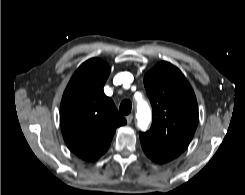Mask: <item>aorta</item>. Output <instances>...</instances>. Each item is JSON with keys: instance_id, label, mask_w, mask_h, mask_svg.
<instances>
[{"instance_id": "762f6f07", "label": "aorta", "mask_w": 245, "mask_h": 195, "mask_svg": "<svg viewBox=\"0 0 245 195\" xmlns=\"http://www.w3.org/2000/svg\"><path fill=\"white\" fill-rule=\"evenodd\" d=\"M152 114L149 104L140 100L137 103V125L139 129L146 130L151 122Z\"/></svg>"}]
</instances>
